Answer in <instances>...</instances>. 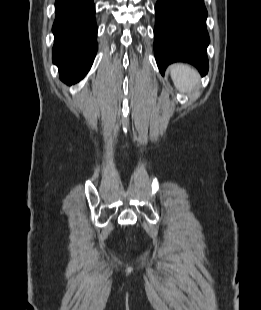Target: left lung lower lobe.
I'll return each instance as SVG.
<instances>
[{"label":"left lung lower lobe","mask_w":261,"mask_h":310,"mask_svg":"<svg viewBox=\"0 0 261 310\" xmlns=\"http://www.w3.org/2000/svg\"><path fill=\"white\" fill-rule=\"evenodd\" d=\"M155 14L154 52L161 74L176 61L189 62L206 74L210 40L204 1L157 0Z\"/></svg>","instance_id":"left-lung-lower-lobe-1"}]
</instances>
